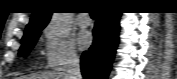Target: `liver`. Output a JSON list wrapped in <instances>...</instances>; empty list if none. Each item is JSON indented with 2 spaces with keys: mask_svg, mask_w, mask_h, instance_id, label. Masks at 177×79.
I'll return each instance as SVG.
<instances>
[{
  "mask_svg": "<svg viewBox=\"0 0 177 79\" xmlns=\"http://www.w3.org/2000/svg\"><path fill=\"white\" fill-rule=\"evenodd\" d=\"M20 79H69L63 72H45L43 74H34L30 76H21Z\"/></svg>",
  "mask_w": 177,
  "mask_h": 79,
  "instance_id": "1",
  "label": "liver"
}]
</instances>
